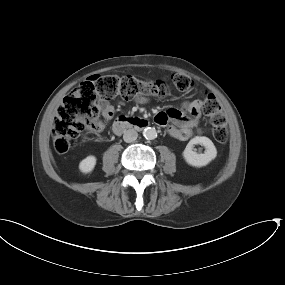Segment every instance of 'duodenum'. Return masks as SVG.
Segmentation results:
<instances>
[{
    "label": "duodenum",
    "instance_id": "410a0bca",
    "mask_svg": "<svg viewBox=\"0 0 285 285\" xmlns=\"http://www.w3.org/2000/svg\"><path fill=\"white\" fill-rule=\"evenodd\" d=\"M148 126L149 122L146 119L122 116L114 121L112 130L115 134H121L128 129L139 131L146 129Z\"/></svg>",
    "mask_w": 285,
    "mask_h": 285
}]
</instances>
